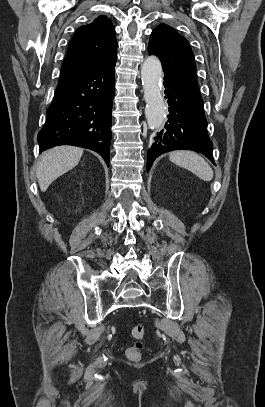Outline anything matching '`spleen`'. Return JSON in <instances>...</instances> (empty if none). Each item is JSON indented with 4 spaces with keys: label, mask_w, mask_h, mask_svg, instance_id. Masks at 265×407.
<instances>
[{
    "label": "spleen",
    "mask_w": 265,
    "mask_h": 407,
    "mask_svg": "<svg viewBox=\"0 0 265 407\" xmlns=\"http://www.w3.org/2000/svg\"><path fill=\"white\" fill-rule=\"evenodd\" d=\"M170 161L183 167L204 181H211L213 170L200 155L193 151H175L170 154Z\"/></svg>",
    "instance_id": "obj_1"
}]
</instances>
